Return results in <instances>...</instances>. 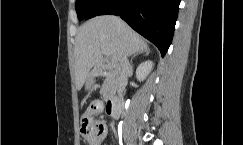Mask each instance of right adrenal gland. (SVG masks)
I'll list each match as a JSON object with an SVG mask.
<instances>
[{"instance_id":"1","label":"right adrenal gland","mask_w":243,"mask_h":145,"mask_svg":"<svg viewBox=\"0 0 243 145\" xmlns=\"http://www.w3.org/2000/svg\"><path fill=\"white\" fill-rule=\"evenodd\" d=\"M149 53H150V50H149V49H146V50L143 51V52H138V53H136V54L133 55V57L131 58V62H133V59H134L135 57H137L138 55L144 54V56H148Z\"/></svg>"}]
</instances>
